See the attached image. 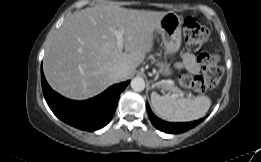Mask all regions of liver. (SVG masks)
I'll return each instance as SVG.
<instances>
[{
    "label": "liver",
    "mask_w": 261,
    "mask_h": 162,
    "mask_svg": "<svg viewBox=\"0 0 261 162\" xmlns=\"http://www.w3.org/2000/svg\"><path fill=\"white\" fill-rule=\"evenodd\" d=\"M166 13L101 5L73 13L49 42L43 62L48 83L83 100L131 77L153 48L155 27ZM114 30L123 32L125 52L117 47ZM117 66L127 68L124 77L113 75Z\"/></svg>",
    "instance_id": "6515ba94"
}]
</instances>
